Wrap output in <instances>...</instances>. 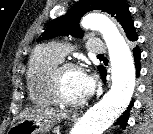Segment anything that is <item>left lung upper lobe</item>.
I'll list each match as a JSON object with an SVG mask.
<instances>
[{
  "label": "left lung upper lobe",
  "instance_id": "obj_1",
  "mask_svg": "<svg viewBox=\"0 0 153 134\" xmlns=\"http://www.w3.org/2000/svg\"><path fill=\"white\" fill-rule=\"evenodd\" d=\"M92 10H102L111 14L122 25L130 41L138 39L129 6L125 2L119 0H81L67 14L54 19L37 41L48 40L60 35L81 37L83 34L79 28V20L86 12ZM101 68L102 66H98L99 70Z\"/></svg>",
  "mask_w": 153,
  "mask_h": 134
}]
</instances>
